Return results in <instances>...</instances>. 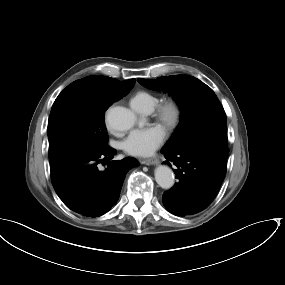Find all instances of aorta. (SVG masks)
Masks as SVG:
<instances>
[{"mask_svg": "<svg viewBox=\"0 0 285 285\" xmlns=\"http://www.w3.org/2000/svg\"><path fill=\"white\" fill-rule=\"evenodd\" d=\"M106 120L112 129L127 131L134 126L136 115L130 109L122 106H114L107 111ZM174 179V173L168 166L160 165L155 169V180L161 188H172Z\"/></svg>", "mask_w": 285, "mask_h": 285, "instance_id": "obj_1", "label": "aorta"}]
</instances>
